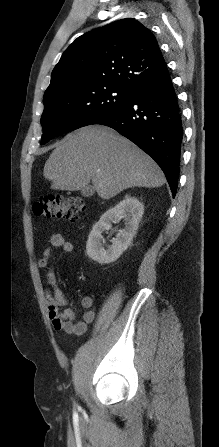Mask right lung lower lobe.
I'll use <instances>...</instances> for the list:
<instances>
[{"instance_id":"obj_1","label":"right lung lower lobe","mask_w":219,"mask_h":447,"mask_svg":"<svg viewBox=\"0 0 219 447\" xmlns=\"http://www.w3.org/2000/svg\"><path fill=\"white\" fill-rule=\"evenodd\" d=\"M92 124L115 129L150 155L163 170L173 197L178 186L182 113L170 75L141 88L130 100Z\"/></svg>"}]
</instances>
